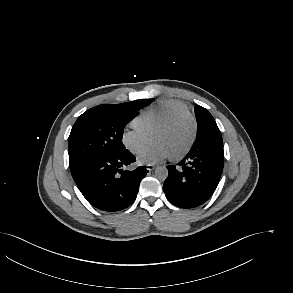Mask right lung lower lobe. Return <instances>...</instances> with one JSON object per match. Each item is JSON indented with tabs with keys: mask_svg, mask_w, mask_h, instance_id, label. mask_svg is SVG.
<instances>
[{
	"mask_svg": "<svg viewBox=\"0 0 293 293\" xmlns=\"http://www.w3.org/2000/svg\"><path fill=\"white\" fill-rule=\"evenodd\" d=\"M134 161L135 157L125 149L95 158L71 174L92 206L109 212L119 211L135 201L140 182L148 172L143 166L134 171L122 170Z\"/></svg>",
	"mask_w": 293,
	"mask_h": 293,
	"instance_id": "98d812e1",
	"label": "right lung lower lobe"
}]
</instances>
